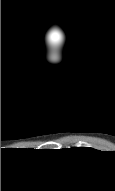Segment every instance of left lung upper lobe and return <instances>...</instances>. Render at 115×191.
<instances>
[{
    "label": "left lung upper lobe",
    "instance_id": "left-lung-upper-lobe-1",
    "mask_svg": "<svg viewBox=\"0 0 115 191\" xmlns=\"http://www.w3.org/2000/svg\"><path fill=\"white\" fill-rule=\"evenodd\" d=\"M74 148L79 149L81 151H93V150H91L92 148H87V147H79V148L74 147Z\"/></svg>",
    "mask_w": 115,
    "mask_h": 191
}]
</instances>
